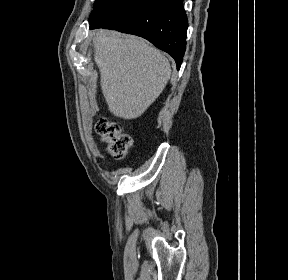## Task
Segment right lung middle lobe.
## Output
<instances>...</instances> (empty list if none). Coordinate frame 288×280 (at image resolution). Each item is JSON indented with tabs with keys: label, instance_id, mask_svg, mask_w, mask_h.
<instances>
[{
	"label": "right lung middle lobe",
	"instance_id": "obj_1",
	"mask_svg": "<svg viewBox=\"0 0 288 280\" xmlns=\"http://www.w3.org/2000/svg\"><path fill=\"white\" fill-rule=\"evenodd\" d=\"M118 0H96L89 21L93 20L101 11Z\"/></svg>",
	"mask_w": 288,
	"mask_h": 280
}]
</instances>
